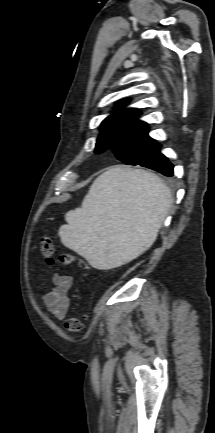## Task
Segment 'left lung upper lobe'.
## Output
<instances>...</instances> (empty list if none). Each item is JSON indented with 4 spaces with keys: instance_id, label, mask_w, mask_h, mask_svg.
I'll list each match as a JSON object with an SVG mask.
<instances>
[{
    "instance_id": "left-lung-upper-lobe-1",
    "label": "left lung upper lobe",
    "mask_w": 215,
    "mask_h": 433,
    "mask_svg": "<svg viewBox=\"0 0 215 433\" xmlns=\"http://www.w3.org/2000/svg\"><path fill=\"white\" fill-rule=\"evenodd\" d=\"M126 103V100L117 103L119 110L102 122L95 153L111 149L116 158L125 164L156 169L164 158L160 153L161 145L149 137L147 123L137 120L140 111L121 108Z\"/></svg>"
}]
</instances>
